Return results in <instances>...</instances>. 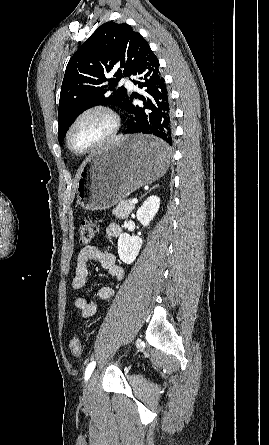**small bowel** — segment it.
<instances>
[{"label":"small bowel","mask_w":269,"mask_h":445,"mask_svg":"<svg viewBox=\"0 0 269 445\" xmlns=\"http://www.w3.org/2000/svg\"><path fill=\"white\" fill-rule=\"evenodd\" d=\"M122 233L119 224L115 222L109 223L105 228L106 237L118 238ZM96 261L105 269L112 277L121 280L124 277V270L116 262V257L112 252L102 251L95 246H86L82 248L75 262V273L72 279V288L74 290L82 289L88 280L89 263ZM114 296V290L109 286L101 287L96 293V299L109 302ZM74 305L81 313L82 318H90L97 313L96 301H90L84 296L75 298Z\"/></svg>","instance_id":"c3829d8e"}]
</instances>
